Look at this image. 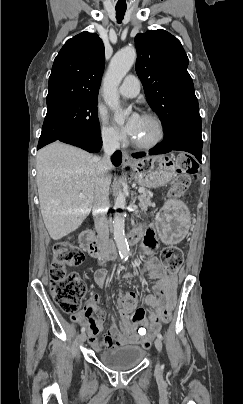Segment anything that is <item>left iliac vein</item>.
Returning a JSON list of instances; mask_svg holds the SVG:
<instances>
[{
    "mask_svg": "<svg viewBox=\"0 0 243 404\" xmlns=\"http://www.w3.org/2000/svg\"><path fill=\"white\" fill-rule=\"evenodd\" d=\"M155 347H156V349H157L158 352H161V350H162V342H161V339L157 338V339L155 340ZM156 371H157V372L160 371V364H159V363L156 365Z\"/></svg>",
    "mask_w": 243,
    "mask_h": 404,
    "instance_id": "4c4485c4",
    "label": "left iliac vein"
}]
</instances>
